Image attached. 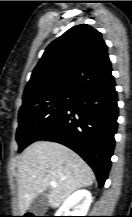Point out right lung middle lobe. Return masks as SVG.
Segmentation results:
<instances>
[{
  "label": "right lung middle lobe",
  "mask_w": 132,
  "mask_h": 217,
  "mask_svg": "<svg viewBox=\"0 0 132 217\" xmlns=\"http://www.w3.org/2000/svg\"><path fill=\"white\" fill-rule=\"evenodd\" d=\"M75 94L58 92L23 98L16 139L21 152L37 141L74 101Z\"/></svg>",
  "instance_id": "1"
}]
</instances>
